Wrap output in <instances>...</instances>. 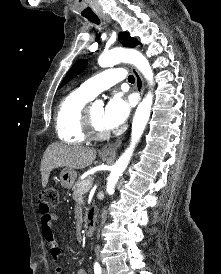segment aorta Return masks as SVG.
I'll use <instances>...</instances> for the list:
<instances>
[{"label": "aorta", "instance_id": "obj_1", "mask_svg": "<svg viewBox=\"0 0 221 274\" xmlns=\"http://www.w3.org/2000/svg\"><path fill=\"white\" fill-rule=\"evenodd\" d=\"M120 62H128L133 64L143 74L149 85H153V71L151 69V66L146 57L137 50L116 48L109 52L103 53L98 58V64L101 67H112ZM152 103L153 93L151 91H148L142 102L138 105L133 117L130 146L116 161L108 177L106 188L108 193L114 191L115 185L119 177L125 171L132 157L135 146L140 140L144 132L145 126L149 120Z\"/></svg>", "mask_w": 221, "mask_h": 274}]
</instances>
